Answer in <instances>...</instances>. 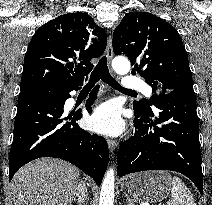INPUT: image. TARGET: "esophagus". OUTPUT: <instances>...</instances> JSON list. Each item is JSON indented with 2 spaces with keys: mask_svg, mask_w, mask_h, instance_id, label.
<instances>
[{
  "mask_svg": "<svg viewBox=\"0 0 212 205\" xmlns=\"http://www.w3.org/2000/svg\"><path fill=\"white\" fill-rule=\"evenodd\" d=\"M106 56H107V59H108L109 62L113 58V43H112V36L111 35H109L108 41H107ZM107 144H108L110 152L113 153L116 146H117L116 141L112 140V139H107Z\"/></svg>",
  "mask_w": 212,
  "mask_h": 205,
  "instance_id": "obj_1",
  "label": "esophagus"
}]
</instances>
